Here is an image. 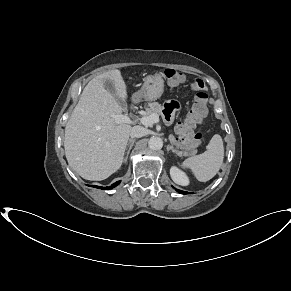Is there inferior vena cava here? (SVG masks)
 Listing matches in <instances>:
<instances>
[{"instance_id": "obj_1", "label": "inferior vena cava", "mask_w": 291, "mask_h": 291, "mask_svg": "<svg viewBox=\"0 0 291 291\" xmlns=\"http://www.w3.org/2000/svg\"><path fill=\"white\" fill-rule=\"evenodd\" d=\"M147 134V129L142 126H134L131 129L130 137L131 138H140Z\"/></svg>"}]
</instances>
